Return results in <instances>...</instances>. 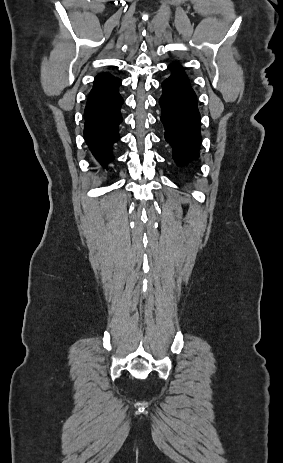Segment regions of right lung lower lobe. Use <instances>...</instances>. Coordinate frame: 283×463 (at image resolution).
Instances as JSON below:
<instances>
[{"label":"right lung lower lobe","mask_w":283,"mask_h":463,"mask_svg":"<svg viewBox=\"0 0 283 463\" xmlns=\"http://www.w3.org/2000/svg\"><path fill=\"white\" fill-rule=\"evenodd\" d=\"M121 80L111 77L94 84L85 107V140L95 158L104 167L113 161L111 147L119 140L123 99L118 92Z\"/></svg>","instance_id":"1"}]
</instances>
